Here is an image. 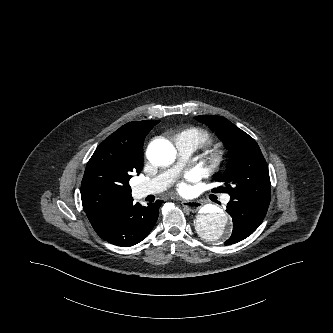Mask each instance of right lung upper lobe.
I'll use <instances>...</instances> for the list:
<instances>
[{
  "instance_id": "1",
  "label": "right lung upper lobe",
  "mask_w": 333,
  "mask_h": 333,
  "mask_svg": "<svg viewBox=\"0 0 333 333\" xmlns=\"http://www.w3.org/2000/svg\"><path fill=\"white\" fill-rule=\"evenodd\" d=\"M151 120L129 122L107 137L87 163L81 183L83 209L93 221L132 198L124 177L142 170V147Z\"/></svg>"
}]
</instances>
